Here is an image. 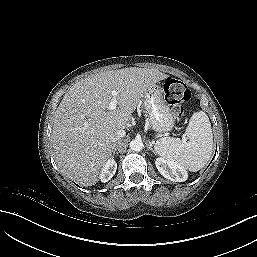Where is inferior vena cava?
<instances>
[{"label": "inferior vena cava", "mask_w": 257, "mask_h": 257, "mask_svg": "<svg viewBox=\"0 0 257 257\" xmlns=\"http://www.w3.org/2000/svg\"><path fill=\"white\" fill-rule=\"evenodd\" d=\"M125 134H126V133H125L124 130H118V131H116V132L112 135L111 141H112L113 143H115L116 141H118L119 139H121L122 137H124Z\"/></svg>", "instance_id": "1"}]
</instances>
